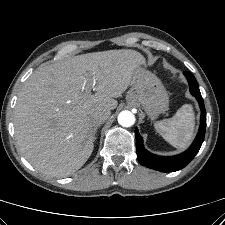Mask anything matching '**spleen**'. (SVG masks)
<instances>
[{
	"label": "spleen",
	"mask_w": 225,
	"mask_h": 225,
	"mask_svg": "<svg viewBox=\"0 0 225 225\" xmlns=\"http://www.w3.org/2000/svg\"><path fill=\"white\" fill-rule=\"evenodd\" d=\"M194 112L189 104L180 107L175 115L154 123L156 131L176 148H184L193 136Z\"/></svg>",
	"instance_id": "obj_1"
}]
</instances>
